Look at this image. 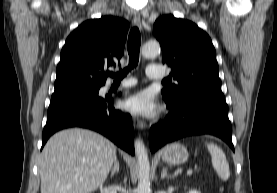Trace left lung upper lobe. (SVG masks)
I'll list each match as a JSON object with an SVG mask.
<instances>
[{
	"label": "left lung upper lobe",
	"mask_w": 277,
	"mask_h": 193,
	"mask_svg": "<svg viewBox=\"0 0 277 193\" xmlns=\"http://www.w3.org/2000/svg\"><path fill=\"white\" fill-rule=\"evenodd\" d=\"M153 29L160 41L163 63L171 67L172 76L178 81L162 90L167 103L176 104L196 89L221 88L216 51L206 32L171 14L158 18Z\"/></svg>",
	"instance_id": "5c2ea615"
}]
</instances>
